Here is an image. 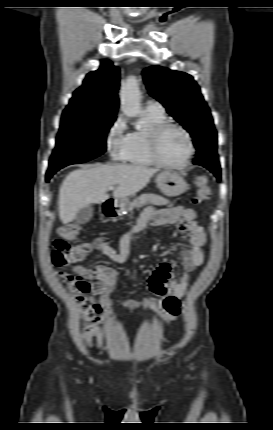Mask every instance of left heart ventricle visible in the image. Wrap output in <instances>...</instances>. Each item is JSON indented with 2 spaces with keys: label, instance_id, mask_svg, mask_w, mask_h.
Segmentation results:
<instances>
[{
  "label": "left heart ventricle",
  "instance_id": "left-heart-ventricle-1",
  "mask_svg": "<svg viewBox=\"0 0 273 430\" xmlns=\"http://www.w3.org/2000/svg\"><path fill=\"white\" fill-rule=\"evenodd\" d=\"M160 157L168 163H180L188 152L185 135L177 129H168L161 136L159 143Z\"/></svg>",
  "mask_w": 273,
  "mask_h": 430
}]
</instances>
